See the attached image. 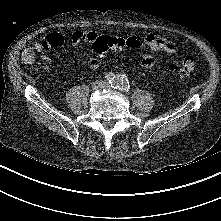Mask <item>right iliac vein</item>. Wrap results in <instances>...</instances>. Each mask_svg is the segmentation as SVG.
Returning a JSON list of instances; mask_svg holds the SVG:
<instances>
[{"label": "right iliac vein", "instance_id": "right-iliac-vein-1", "mask_svg": "<svg viewBox=\"0 0 221 221\" xmlns=\"http://www.w3.org/2000/svg\"><path fill=\"white\" fill-rule=\"evenodd\" d=\"M105 82L104 81H95L93 84H92V89L93 90H99L101 88H104L105 87Z\"/></svg>", "mask_w": 221, "mask_h": 221}]
</instances>
